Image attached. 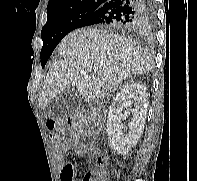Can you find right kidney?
<instances>
[{
  "label": "right kidney",
  "instance_id": "right-kidney-1",
  "mask_svg": "<svg viewBox=\"0 0 197 181\" xmlns=\"http://www.w3.org/2000/svg\"><path fill=\"white\" fill-rule=\"evenodd\" d=\"M144 84L135 82L125 85L113 99L108 112L107 134L112 148L126 155L139 141L147 115L148 99ZM126 109L123 114V110ZM131 115L128 132L122 131V120Z\"/></svg>",
  "mask_w": 197,
  "mask_h": 181
}]
</instances>
